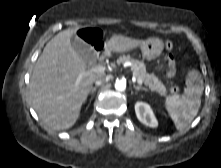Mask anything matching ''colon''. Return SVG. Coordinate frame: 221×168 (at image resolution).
I'll use <instances>...</instances> for the list:
<instances>
[{
  "label": "colon",
  "mask_w": 221,
  "mask_h": 168,
  "mask_svg": "<svg viewBox=\"0 0 221 168\" xmlns=\"http://www.w3.org/2000/svg\"><path fill=\"white\" fill-rule=\"evenodd\" d=\"M98 36H99L98 31L93 29L87 30L83 34L84 39L90 42L96 41ZM165 47L168 51H170L173 48V43L168 40L165 42ZM169 89L173 95H178L180 92V85L178 82H171L169 85Z\"/></svg>",
  "instance_id": "5ec220e1"
}]
</instances>
